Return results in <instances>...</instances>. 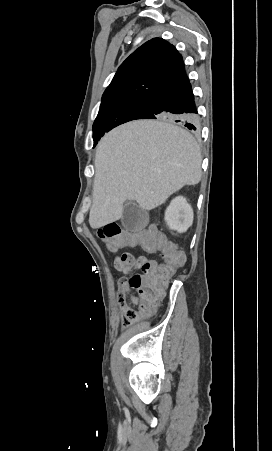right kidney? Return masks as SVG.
Returning <instances> with one entry per match:
<instances>
[{
    "instance_id": "ca27d5eb",
    "label": "right kidney",
    "mask_w": 272,
    "mask_h": 451,
    "mask_svg": "<svg viewBox=\"0 0 272 451\" xmlns=\"http://www.w3.org/2000/svg\"><path fill=\"white\" fill-rule=\"evenodd\" d=\"M193 210L186 198L178 196L172 200L165 212V222L169 229H177L179 233L186 231L193 224Z\"/></svg>"
}]
</instances>
